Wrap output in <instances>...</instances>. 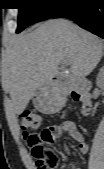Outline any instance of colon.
<instances>
[{"label": "colon", "mask_w": 104, "mask_h": 169, "mask_svg": "<svg viewBox=\"0 0 104 169\" xmlns=\"http://www.w3.org/2000/svg\"><path fill=\"white\" fill-rule=\"evenodd\" d=\"M75 101L79 94L72 92ZM41 116L35 111H26L20 116V127L24 139L35 159L36 169H58L59 157L56 152L45 146L47 141L57 138L62 134L59 125H53L42 132H38L41 126Z\"/></svg>", "instance_id": "obj_1"}]
</instances>
